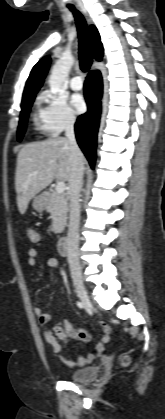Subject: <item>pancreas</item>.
Segmentation results:
<instances>
[{
	"label": "pancreas",
	"instance_id": "pancreas-1",
	"mask_svg": "<svg viewBox=\"0 0 165 419\" xmlns=\"http://www.w3.org/2000/svg\"><path fill=\"white\" fill-rule=\"evenodd\" d=\"M47 212L51 214L52 230L55 234L61 233L67 223L68 198L64 194L53 191L50 195Z\"/></svg>",
	"mask_w": 165,
	"mask_h": 419
}]
</instances>
